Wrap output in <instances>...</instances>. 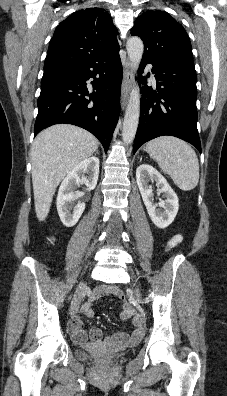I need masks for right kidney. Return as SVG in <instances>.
Here are the masks:
<instances>
[{
	"label": "right kidney",
	"instance_id": "ca27d5eb",
	"mask_svg": "<svg viewBox=\"0 0 227 396\" xmlns=\"http://www.w3.org/2000/svg\"><path fill=\"white\" fill-rule=\"evenodd\" d=\"M98 175L99 159L92 156L75 166L62 181L57 196V211L66 227L74 226L85 209L84 202L73 206V200L78 196L76 186L85 184L88 190H93L97 185Z\"/></svg>",
	"mask_w": 227,
	"mask_h": 396
}]
</instances>
